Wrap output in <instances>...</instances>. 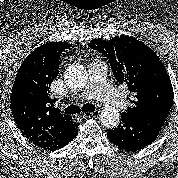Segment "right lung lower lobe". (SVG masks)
<instances>
[{"label": "right lung lower lobe", "mask_w": 178, "mask_h": 178, "mask_svg": "<svg viewBox=\"0 0 178 178\" xmlns=\"http://www.w3.org/2000/svg\"><path fill=\"white\" fill-rule=\"evenodd\" d=\"M76 135H77V127L72 132H70L67 136L63 137L57 143H55L54 145H52L51 147L45 150L48 151L58 150L63 146L67 145L70 141H72L76 137Z\"/></svg>", "instance_id": "1"}]
</instances>
